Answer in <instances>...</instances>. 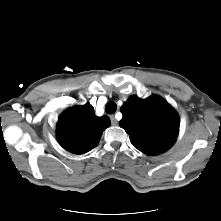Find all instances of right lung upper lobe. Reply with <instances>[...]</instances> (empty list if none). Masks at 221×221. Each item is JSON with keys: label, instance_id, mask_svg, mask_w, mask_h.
<instances>
[{"label": "right lung upper lobe", "instance_id": "right-lung-upper-lobe-1", "mask_svg": "<svg viewBox=\"0 0 221 221\" xmlns=\"http://www.w3.org/2000/svg\"><path fill=\"white\" fill-rule=\"evenodd\" d=\"M107 116L98 117L90 104L74 106L61 114L57 124L60 145L74 154H84L97 146L105 128Z\"/></svg>", "mask_w": 221, "mask_h": 221}]
</instances>
